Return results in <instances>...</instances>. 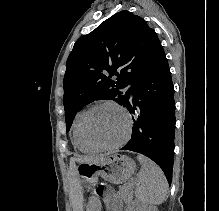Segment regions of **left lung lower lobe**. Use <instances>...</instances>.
Returning <instances> with one entry per match:
<instances>
[{
    "label": "left lung lower lobe",
    "mask_w": 219,
    "mask_h": 211,
    "mask_svg": "<svg viewBox=\"0 0 219 211\" xmlns=\"http://www.w3.org/2000/svg\"><path fill=\"white\" fill-rule=\"evenodd\" d=\"M124 106L135 117L131 139L121 150L152 159L170 183L176 119L174 87L165 53L134 83Z\"/></svg>",
    "instance_id": "obj_1"
}]
</instances>
